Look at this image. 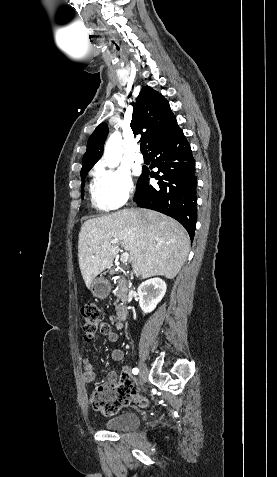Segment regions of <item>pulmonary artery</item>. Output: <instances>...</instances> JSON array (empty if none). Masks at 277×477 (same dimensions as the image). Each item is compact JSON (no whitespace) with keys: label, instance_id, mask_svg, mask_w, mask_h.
<instances>
[{"label":"pulmonary artery","instance_id":"e3ab8cb5","mask_svg":"<svg viewBox=\"0 0 277 477\" xmlns=\"http://www.w3.org/2000/svg\"><path fill=\"white\" fill-rule=\"evenodd\" d=\"M135 151H136V153H135V155H134V160H135L137 163H143L144 157H143V155L140 153L139 148L137 147Z\"/></svg>","mask_w":277,"mask_h":477}]
</instances>
